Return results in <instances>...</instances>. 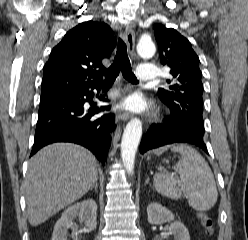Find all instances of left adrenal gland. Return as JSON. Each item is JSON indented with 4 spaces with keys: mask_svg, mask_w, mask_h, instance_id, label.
Here are the masks:
<instances>
[{
    "mask_svg": "<svg viewBox=\"0 0 248 240\" xmlns=\"http://www.w3.org/2000/svg\"><path fill=\"white\" fill-rule=\"evenodd\" d=\"M149 183V179H147V181H146V184H148Z\"/></svg>",
    "mask_w": 248,
    "mask_h": 240,
    "instance_id": "a2214340",
    "label": "left adrenal gland"
}]
</instances>
